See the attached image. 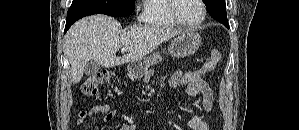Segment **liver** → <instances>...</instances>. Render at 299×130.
Wrapping results in <instances>:
<instances>
[{
    "label": "liver",
    "instance_id": "1",
    "mask_svg": "<svg viewBox=\"0 0 299 130\" xmlns=\"http://www.w3.org/2000/svg\"><path fill=\"white\" fill-rule=\"evenodd\" d=\"M181 33V30L150 26H136L122 31L121 24L109 16L82 18L65 35V52L71 65L72 82H80L85 66L91 60L104 68L134 62ZM121 47H130L131 51L117 57L116 53Z\"/></svg>",
    "mask_w": 299,
    "mask_h": 130
}]
</instances>
